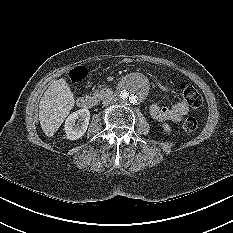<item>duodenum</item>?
I'll list each match as a JSON object with an SVG mask.
<instances>
[{
	"instance_id": "410a0bca",
	"label": "duodenum",
	"mask_w": 233,
	"mask_h": 233,
	"mask_svg": "<svg viewBox=\"0 0 233 233\" xmlns=\"http://www.w3.org/2000/svg\"><path fill=\"white\" fill-rule=\"evenodd\" d=\"M113 93L108 89L94 90L92 95H83L77 99V105L82 109H91L97 105L106 102L107 99L112 98Z\"/></svg>"
}]
</instances>
